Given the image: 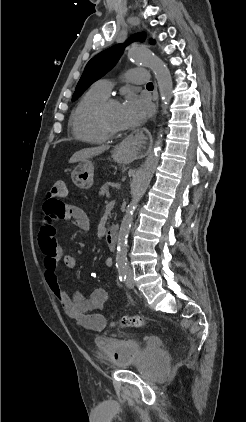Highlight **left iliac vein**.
Returning a JSON list of instances; mask_svg holds the SVG:
<instances>
[{"label":"left iliac vein","mask_w":246,"mask_h":422,"mask_svg":"<svg viewBox=\"0 0 246 422\" xmlns=\"http://www.w3.org/2000/svg\"><path fill=\"white\" fill-rule=\"evenodd\" d=\"M126 286H127L129 289L134 288V281H133V279H132L131 274H128V278H127V281H126Z\"/></svg>","instance_id":"obj_1"}]
</instances>
